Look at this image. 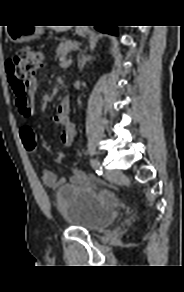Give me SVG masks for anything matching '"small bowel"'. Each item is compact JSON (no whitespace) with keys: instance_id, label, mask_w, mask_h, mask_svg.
<instances>
[{"instance_id":"small-bowel-1","label":"small bowel","mask_w":184,"mask_h":292,"mask_svg":"<svg viewBox=\"0 0 184 292\" xmlns=\"http://www.w3.org/2000/svg\"><path fill=\"white\" fill-rule=\"evenodd\" d=\"M30 85L32 88L36 89L37 88V80L33 79L31 81ZM12 89H13L14 95L16 97V107L18 110V114L20 115V117L23 120V124L20 128V136H21L22 130H24L26 128H31V125L29 124V120L31 119V116L25 112L24 108L22 107V105L20 103V97L13 86H12ZM54 121L56 124L63 126V131H62V135H61L63 144L66 147L73 146L74 141H75V136H76V131H75L74 125L69 122V120L66 116L61 117L59 115H56L54 118ZM40 178H41L42 183L46 187L51 188V189H56L57 187L61 186L62 184H64L66 182L65 178H59L53 171H50V170H44L41 173ZM69 181L73 184L81 185V184H85L88 182V177L83 171L75 169L72 171V173L69 177Z\"/></svg>"}]
</instances>
